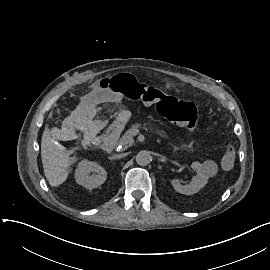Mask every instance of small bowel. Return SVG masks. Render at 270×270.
Masks as SVG:
<instances>
[{
  "label": "small bowel",
  "instance_id": "c3829d8e",
  "mask_svg": "<svg viewBox=\"0 0 270 270\" xmlns=\"http://www.w3.org/2000/svg\"><path fill=\"white\" fill-rule=\"evenodd\" d=\"M99 94L101 97L108 102H120L121 101V96L115 93H111L109 91H100Z\"/></svg>",
  "mask_w": 270,
  "mask_h": 270
}]
</instances>
